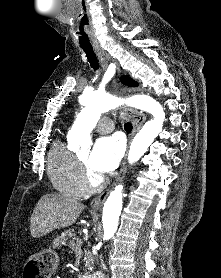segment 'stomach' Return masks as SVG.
Segmentation results:
<instances>
[{"mask_svg": "<svg viewBox=\"0 0 221 278\" xmlns=\"http://www.w3.org/2000/svg\"><path fill=\"white\" fill-rule=\"evenodd\" d=\"M59 264L57 253L45 249L39 254H32L26 261L24 278H50Z\"/></svg>", "mask_w": 221, "mask_h": 278, "instance_id": "obj_1", "label": "stomach"}]
</instances>
